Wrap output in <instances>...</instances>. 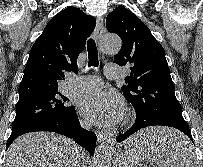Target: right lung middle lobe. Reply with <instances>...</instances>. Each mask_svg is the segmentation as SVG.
I'll return each mask as SVG.
<instances>
[{"mask_svg":"<svg viewBox=\"0 0 203 167\" xmlns=\"http://www.w3.org/2000/svg\"><path fill=\"white\" fill-rule=\"evenodd\" d=\"M68 102L69 99L62 96L57 90L18 103L12 133L38 122L71 114L75 111V107L69 105Z\"/></svg>","mask_w":203,"mask_h":167,"instance_id":"dd1d6c3e","label":"right lung middle lobe"}]
</instances>
